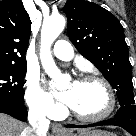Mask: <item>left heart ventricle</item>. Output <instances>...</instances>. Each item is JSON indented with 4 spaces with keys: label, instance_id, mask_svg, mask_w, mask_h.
<instances>
[{
    "label": "left heart ventricle",
    "instance_id": "left-heart-ventricle-1",
    "mask_svg": "<svg viewBox=\"0 0 136 136\" xmlns=\"http://www.w3.org/2000/svg\"><path fill=\"white\" fill-rule=\"evenodd\" d=\"M72 85H69V89ZM108 104L104 87L97 82H79L75 88V99L71 106L84 116H94L103 112Z\"/></svg>",
    "mask_w": 136,
    "mask_h": 136
}]
</instances>
